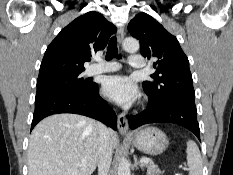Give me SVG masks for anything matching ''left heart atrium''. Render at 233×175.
Here are the masks:
<instances>
[{"label": "left heart atrium", "instance_id": "39dd6f15", "mask_svg": "<svg viewBox=\"0 0 233 175\" xmlns=\"http://www.w3.org/2000/svg\"><path fill=\"white\" fill-rule=\"evenodd\" d=\"M103 93L118 104L128 105L138 97V90L127 76H112L103 84Z\"/></svg>", "mask_w": 233, "mask_h": 175}]
</instances>
